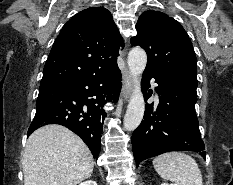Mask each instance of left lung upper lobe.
I'll use <instances>...</instances> for the list:
<instances>
[{
	"instance_id": "left-lung-upper-lobe-1",
	"label": "left lung upper lobe",
	"mask_w": 233,
	"mask_h": 185,
	"mask_svg": "<svg viewBox=\"0 0 233 185\" xmlns=\"http://www.w3.org/2000/svg\"><path fill=\"white\" fill-rule=\"evenodd\" d=\"M133 46H141L148 57L145 70L157 76L197 80L196 56L187 32L175 19L158 11H145L136 24Z\"/></svg>"
}]
</instances>
